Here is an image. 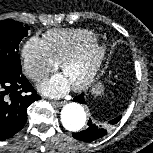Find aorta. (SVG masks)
<instances>
[{"mask_svg":"<svg viewBox=\"0 0 153 153\" xmlns=\"http://www.w3.org/2000/svg\"><path fill=\"white\" fill-rule=\"evenodd\" d=\"M86 112L78 103L66 104L61 111V122L66 130L77 132L81 130L86 123Z\"/></svg>","mask_w":153,"mask_h":153,"instance_id":"762f6f07","label":"aorta"}]
</instances>
